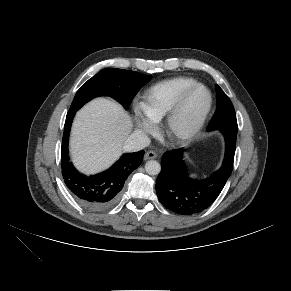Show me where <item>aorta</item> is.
<instances>
[{
    "instance_id": "aorta-1",
    "label": "aorta",
    "mask_w": 291,
    "mask_h": 291,
    "mask_svg": "<svg viewBox=\"0 0 291 291\" xmlns=\"http://www.w3.org/2000/svg\"><path fill=\"white\" fill-rule=\"evenodd\" d=\"M145 170L149 175H157L161 171V166L157 161L150 160L146 162Z\"/></svg>"
}]
</instances>
